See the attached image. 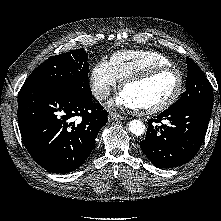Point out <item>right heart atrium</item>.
Returning a JSON list of instances; mask_svg holds the SVG:
<instances>
[{
    "label": "right heart atrium",
    "instance_id": "d8ad5b80",
    "mask_svg": "<svg viewBox=\"0 0 221 221\" xmlns=\"http://www.w3.org/2000/svg\"><path fill=\"white\" fill-rule=\"evenodd\" d=\"M89 81L93 95L100 101L105 100L118 83L109 61L104 59L92 67Z\"/></svg>",
    "mask_w": 221,
    "mask_h": 221
}]
</instances>
